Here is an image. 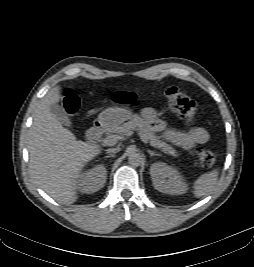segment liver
Returning a JSON list of instances; mask_svg holds the SVG:
<instances>
[{"label": "liver", "instance_id": "1", "mask_svg": "<svg viewBox=\"0 0 254 267\" xmlns=\"http://www.w3.org/2000/svg\"><path fill=\"white\" fill-rule=\"evenodd\" d=\"M61 87L51 89L37 105L29 131L30 172L36 183L57 202L77 199V179L87 162L100 153L98 146L77 140L50 111L59 102Z\"/></svg>", "mask_w": 254, "mask_h": 267}]
</instances>
